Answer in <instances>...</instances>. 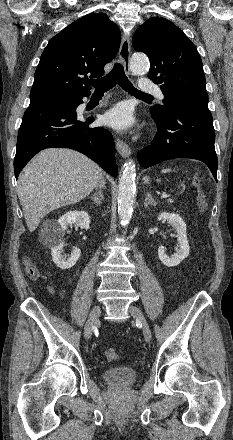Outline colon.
I'll use <instances>...</instances> for the list:
<instances>
[{"instance_id": "obj_1", "label": "colon", "mask_w": 233, "mask_h": 440, "mask_svg": "<svg viewBox=\"0 0 233 440\" xmlns=\"http://www.w3.org/2000/svg\"><path fill=\"white\" fill-rule=\"evenodd\" d=\"M193 186L197 189V208L200 213H205L208 210V202L206 199V194L202 189V180L200 176L194 175L192 180ZM24 267L28 276L32 279H38L41 276L38 267L29 259L24 260ZM104 356L108 361H117L119 359V354L113 348H106L104 350Z\"/></svg>"}]
</instances>
